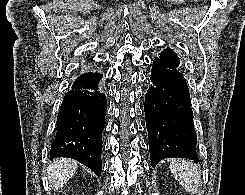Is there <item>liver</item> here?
I'll list each match as a JSON object with an SVG mask.
<instances>
[{
  "label": "liver",
  "mask_w": 245,
  "mask_h": 195,
  "mask_svg": "<svg viewBox=\"0 0 245 195\" xmlns=\"http://www.w3.org/2000/svg\"><path fill=\"white\" fill-rule=\"evenodd\" d=\"M77 168V162L70 158H58L52 161L48 168V178L52 189L62 188L73 176Z\"/></svg>",
  "instance_id": "6515ba94"
}]
</instances>
